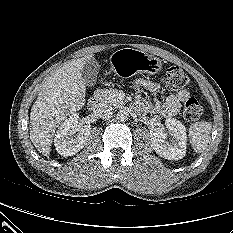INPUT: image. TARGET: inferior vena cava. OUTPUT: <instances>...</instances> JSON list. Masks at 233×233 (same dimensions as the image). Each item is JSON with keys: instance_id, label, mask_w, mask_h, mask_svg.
Returning a JSON list of instances; mask_svg holds the SVG:
<instances>
[{"instance_id": "obj_1", "label": "inferior vena cava", "mask_w": 233, "mask_h": 233, "mask_svg": "<svg viewBox=\"0 0 233 233\" xmlns=\"http://www.w3.org/2000/svg\"><path fill=\"white\" fill-rule=\"evenodd\" d=\"M93 113L96 117L105 119L112 115L113 109L107 104L99 103L94 108Z\"/></svg>"}]
</instances>
